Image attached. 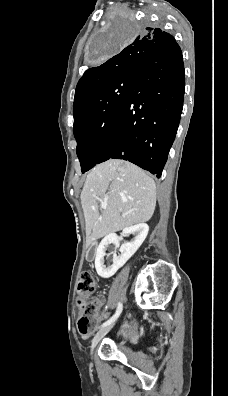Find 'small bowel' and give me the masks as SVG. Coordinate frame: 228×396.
I'll return each mask as SVG.
<instances>
[{
	"mask_svg": "<svg viewBox=\"0 0 228 396\" xmlns=\"http://www.w3.org/2000/svg\"><path fill=\"white\" fill-rule=\"evenodd\" d=\"M105 316H106V314H105V313H102V314L100 315V319H101V318H104ZM121 331H122V333H124V334H128V333H130L131 328H130L129 325L126 324V325H124V326L122 327ZM89 335H90V334H87V335H84L83 337H84V338H87Z\"/></svg>",
	"mask_w": 228,
	"mask_h": 396,
	"instance_id": "small-bowel-1",
	"label": "small bowel"
}]
</instances>
